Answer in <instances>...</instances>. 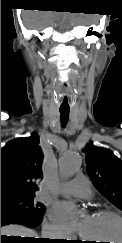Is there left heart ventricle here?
I'll use <instances>...</instances> for the list:
<instances>
[{
  "label": "left heart ventricle",
  "instance_id": "left-heart-ventricle-1",
  "mask_svg": "<svg viewBox=\"0 0 122 243\" xmlns=\"http://www.w3.org/2000/svg\"><path fill=\"white\" fill-rule=\"evenodd\" d=\"M82 221V236L93 240L86 241L87 243H96L102 240H110V243H121L122 223L115 217L91 215L86 216Z\"/></svg>",
  "mask_w": 122,
  "mask_h": 243
}]
</instances>
